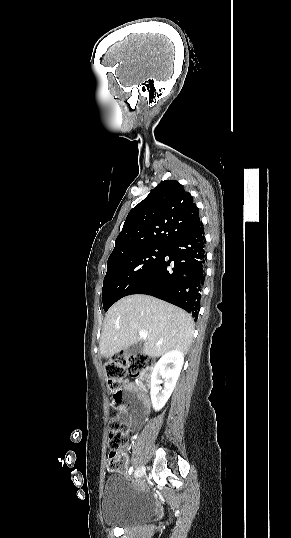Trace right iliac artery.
I'll list each match as a JSON object with an SVG mask.
<instances>
[{
  "instance_id": "1",
  "label": "right iliac artery",
  "mask_w": 291,
  "mask_h": 538,
  "mask_svg": "<svg viewBox=\"0 0 291 538\" xmlns=\"http://www.w3.org/2000/svg\"><path fill=\"white\" fill-rule=\"evenodd\" d=\"M132 472H133V467H130L129 474H131Z\"/></svg>"
}]
</instances>
